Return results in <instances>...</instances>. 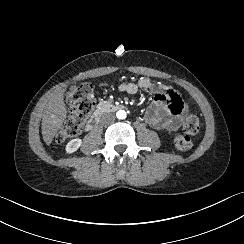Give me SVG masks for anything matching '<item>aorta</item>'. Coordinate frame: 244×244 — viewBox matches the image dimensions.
I'll use <instances>...</instances> for the list:
<instances>
[{
    "label": "aorta",
    "instance_id": "aorta-1",
    "mask_svg": "<svg viewBox=\"0 0 244 244\" xmlns=\"http://www.w3.org/2000/svg\"><path fill=\"white\" fill-rule=\"evenodd\" d=\"M116 116L118 119H125L126 118V112L124 110H119V111H117Z\"/></svg>",
    "mask_w": 244,
    "mask_h": 244
}]
</instances>
